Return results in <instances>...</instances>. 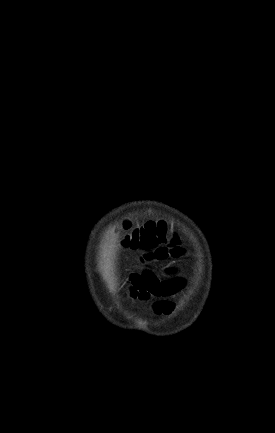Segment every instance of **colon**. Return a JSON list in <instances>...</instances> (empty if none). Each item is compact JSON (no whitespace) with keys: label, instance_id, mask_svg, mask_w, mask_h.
Returning <instances> with one entry per match:
<instances>
[{"label":"colon","instance_id":"5ec220e1","mask_svg":"<svg viewBox=\"0 0 275 433\" xmlns=\"http://www.w3.org/2000/svg\"><path fill=\"white\" fill-rule=\"evenodd\" d=\"M122 229L126 232L123 244L132 249H151L168 241L166 226L161 222H149L137 228L124 222Z\"/></svg>","mask_w":275,"mask_h":433}]
</instances>
